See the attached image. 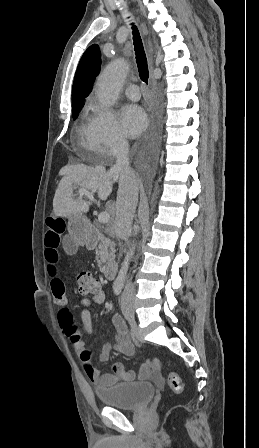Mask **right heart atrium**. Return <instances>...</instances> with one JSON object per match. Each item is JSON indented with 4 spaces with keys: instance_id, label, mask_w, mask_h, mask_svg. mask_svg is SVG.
<instances>
[{
    "instance_id": "d8ad5b80",
    "label": "right heart atrium",
    "mask_w": 259,
    "mask_h": 448,
    "mask_svg": "<svg viewBox=\"0 0 259 448\" xmlns=\"http://www.w3.org/2000/svg\"><path fill=\"white\" fill-rule=\"evenodd\" d=\"M95 111L97 116L90 136V148L97 157H120L127 147V140L113 111L100 105Z\"/></svg>"
}]
</instances>
